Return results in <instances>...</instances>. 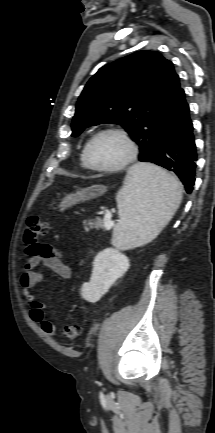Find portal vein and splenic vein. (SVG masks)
<instances>
[{"label": "portal vein and splenic vein", "instance_id": "1", "mask_svg": "<svg viewBox=\"0 0 215 433\" xmlns=\"http://www.w3.org/2000/svg\"><path fill=\"white\" fill-rule=\"evenodd\" d=\"M112 214L110 211L105 210V216H104V227L106 229H111L113 226V221H111Z\"/></svg>", "mask_w": 215, "mask_h": 433}]
</instances>
